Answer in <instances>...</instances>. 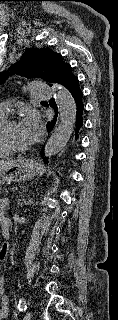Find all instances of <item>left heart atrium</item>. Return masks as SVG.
<instances>
[{"instance_id":"1","label":"left heart atrium","mask_w":118,"mask_h":320,"mask_svg":"<svg viewBox=\"0 0 118 320\" xmlns=\"http://www.w3.org/2000/svg\"><path fill=\"white\" fill-rule=\"evenodd\" d=\"M20 125L28 144L34 143L39 139L42 133V125L40 118L36 113H29Z\"/></svg>"}]
</instances>
